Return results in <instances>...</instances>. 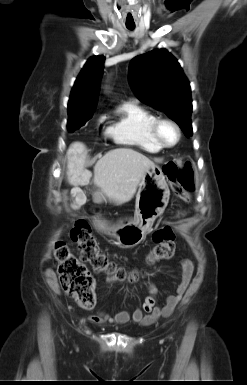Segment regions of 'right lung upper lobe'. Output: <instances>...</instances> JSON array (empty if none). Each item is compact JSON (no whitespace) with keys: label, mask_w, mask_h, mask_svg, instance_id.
<instances>
[{"label":"right lung upper lobe","mask_w":247,"mask_h":385,"mask_svg":"<svg viewBox=\"0 0 247 385\" xmlns=\"http://www.w3.org/2000/svg\"><path fill=\"white\" fill-rule=\"evenodd\" d=\"M104 60L102 55L88 59L73 86L68 110L95 109Z\"/></svg>","instance_id":"1"}]
</instances>
